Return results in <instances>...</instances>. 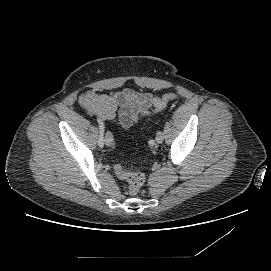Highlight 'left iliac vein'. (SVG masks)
<instances>
[{"mask_svg":"<svg viewBox=\"0 0 271 271\" xmlns=\"http://www.w3.org/2000/svg\"><path fill=\"white\" fill-rule=\"evenodd\" d=\"M164 140V134L163 132H158L156 135V142L157 143H162Z\"/></svg>","mask_w":271,"mask_h":271,"instance_id":"obj_1","label":"left iliac vein"}]
</instances>
